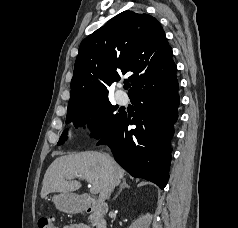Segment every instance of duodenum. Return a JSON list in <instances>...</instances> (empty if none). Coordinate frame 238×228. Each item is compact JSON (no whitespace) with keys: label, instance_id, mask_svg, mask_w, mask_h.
I'll use <instances>...</instances> for the list:
<instances>
[{"label":"duodenum","instance_id":"410a0bca","mask_svg":"<svg viewBox=\"0 0 238 228\" xmlns=\"http://www.w3.org/2000/svg\"><path fill=\"white\" fill-rule=\"evenodd\" d=\"M76 209L92 215L95 228H106L105 215L108 212L106 204L86 195H80L76 200Z\"/></svg>","mask_w":238,"mask_h":228}]
</instances>
